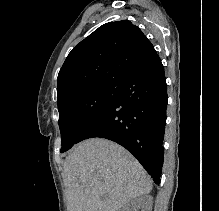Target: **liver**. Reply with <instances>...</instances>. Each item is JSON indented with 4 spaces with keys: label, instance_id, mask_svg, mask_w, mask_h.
Listing matches in <instances>:
<instances>
[{
    "label": "liver",
    "instance_id": "6515ba94",
    "mask_svg": "<svg viewBox=\"0 0 219 211\" xmlns=\"http://www.w3.org/2000/svg\"><path fill=\"white\" fill-rule=\"evenodd\" d=\"M63 181L68 211H120L153 183L134 155L104 137L77 143L64 161Z\"/></svg>",
    "mask_w": 219,
    "mask_h": 211
}]
</instances>
